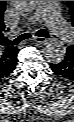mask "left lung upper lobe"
I'll list each match as a JSON object with an SVG mask.
<instances>
[{
    "instance_id": "obj_1",
    "label": "left lung upper lobe",
    "mask_w": 74,
    "mask_h": 122,
    "mask_svg": "<svg viewBox=\"0 0 74 122\" xmlns=\"http://www.w3.org/2000/svg\"><path fill=\"white\" fill-rule=\"evenodd\" d=\"M72 15V25L74 26V1H67ZM74 47V44L72 45Z\"/></svg>"
}]
</instances>
